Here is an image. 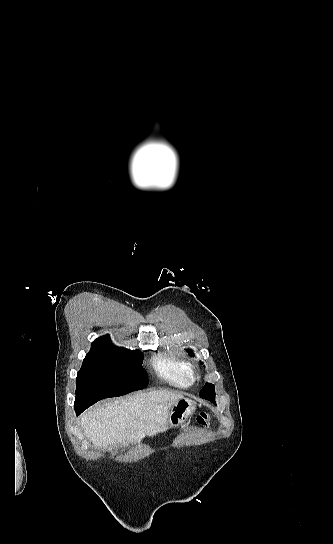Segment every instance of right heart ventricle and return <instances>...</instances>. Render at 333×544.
Here are the masks:
<instances>
[{"label":"right heart ventricle","instance_id":"1","mask_svg":"<svg viewBox=\"0 0 333 544\" xmlns=\"http://www.w3.org/2000/svg\"><path fill=\"white\" fill-rule=\"evenodd\" d=\"M152 363L157 376L172 386L187 388L193 383L191 364L180 356L157 357Z\"/></svg>","mask_w":333,"mask_h":544}]
</instances>
